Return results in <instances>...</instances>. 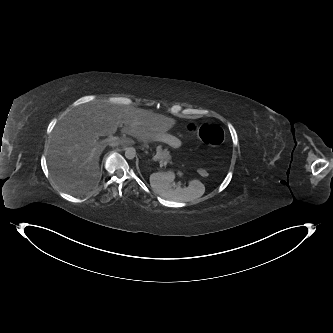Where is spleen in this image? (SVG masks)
Instances as JSON below:
<instances>
[{
  "mask_svg": "<svg viewBox=\"0 0 333 333\" xmlns=\"http://www.w3.org/2000/svg\"><path fill=\"white\" fill-rule=\"evenodd\" d=\"M174 179L170 172H156L150 175V185L156 194L173 201H193L205 193V186L199 180H193L188 187L182 188L173 183Z\"/></svg>",
  "mask_w": 333,
  "mask_h": 333,
  "instance_id": "obj_1",
  "label": "spleen"
}]
</instances>
